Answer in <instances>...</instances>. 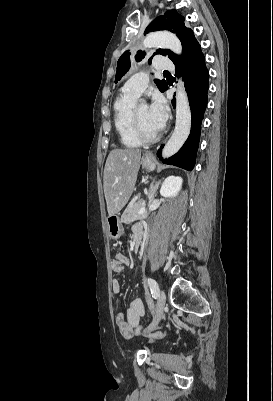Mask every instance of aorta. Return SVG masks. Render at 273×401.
Segmentation results:
<instances>
[{"mask_svg":"<svg viewBox=\"0 0 273 401\" xmlns=\"http://www.w3.org/2000/svg\"><path fill=\"white\" fill-rule=\"evenodd\" d=\"M146 48H166L176 54H181L182 45L176 35L170 32H154L143 40ZM192 113L184 84L179 81L176 91V122L172 136L162 150L163 158L176 154L187 140L191 131Z\"/></svg>","mask_w":273,"mask_h":401,"instance_id":"obj_1","label":"aorta"}]
</instances>
